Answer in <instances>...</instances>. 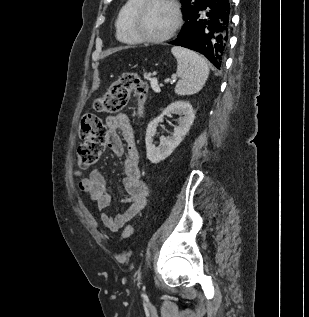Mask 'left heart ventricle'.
Here are the masks:
<instances>
[{
    "instance_id": "left-heart-ventricle-1",
    "label": "left heart ventricle",
    "mask_w": 309,
    "mask_h": 317,
    "mask_svg": "<svg viewBox=\"0 0 309 317\" xmlns=\"http://www.w3.org/2000/svg\"><path fill=\"white\" fill-rule=\"evenodd\" d=\"M174 22L175 14L169 5L154 3L144 11L138 27L144 35L159 37L170 31Z\"/></svg>"
}]
</instances>
